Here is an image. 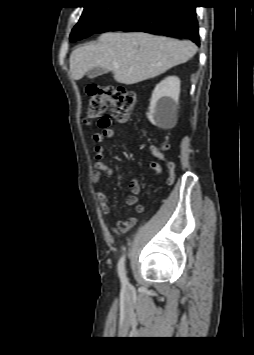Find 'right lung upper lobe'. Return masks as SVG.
Segmentation results:
<instances>
[{"label": "right lung upper lobe", "instance_id": "1", "mask_svg": "<svg viewBox=\"0 0 254 355\" xmlns=\"http://www.w3.org/2000/svg\"><path fill=\"white\" fill-rule=\"evenodd\" d=\"M89 2H95V1H100V0H88ZM114 1H117V2H120V3H125V2H128V1H131V0H114Z\"/></svg>", "mask_w": 254, "mask_h": 355}]
</instances>
